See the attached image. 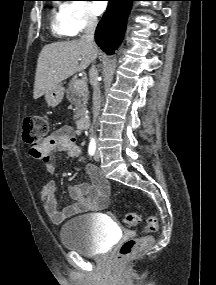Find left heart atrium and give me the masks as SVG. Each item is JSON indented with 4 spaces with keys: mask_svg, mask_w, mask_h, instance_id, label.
Instances as JSON below:
<instances>
[{
    "mask_svg": "<svg viewBox=\"0 0 216 285\" xmlns=\"http://www.w3.org/2000/svg\"><path fill=\"white\" fill-rule=\"evenodd\" d=\"M93 7H94V11L97 14H101L105 11L107 7V2L106 1H96L94 2Z\"/></svg>",
    "mask_w": 216,
    "mask_h": 285,
    "instance_id": "left-heart-atrium-1",
    "label": "left heart atrium"
}]
</instances>
